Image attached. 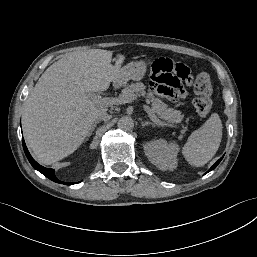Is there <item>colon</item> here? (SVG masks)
I'll list each match as a JSON object with an SVG mask.
<instances>
[{
  "label": "colon",
  "mask_w": 257,
  "mask_h": 257,
  "mask_svg": "<svg viewBox=\"0 0 257 257\" xmlns=\"http://www.w3.org/2000/svg\"><path fill=\"white\" fill-rule=\"evenodd\" d=\"M196 97L193 101L195 111L198 115L207 116L212 108L211 94L213 91L211 78L208 73L200 72L193 83Z\"/></svg>",
  "instance_id": "colon-1"
}]
</instances>
